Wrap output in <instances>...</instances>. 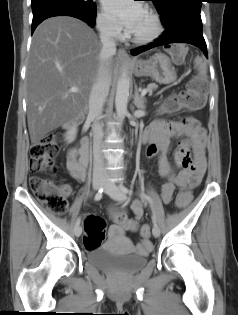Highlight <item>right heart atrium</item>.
I'll list each match as a JSON object with an SVG mask.
<instances>
[{"label": "right heart atrium", "mask_w": 238, "mask_h": 315, "mask_svg": "<svg viewBox=\"0 0 238 315\" xmlns=\"http://www.w3.org/2000/svg\"><path fill=\"white\" fill-rule=\"evenodd\" d=\"M99 32L107 38H117L120 35V27L116 21L105 12H100L96 18Z\"/></svg>", "instance_id": "obj_1"}]
</instances>
